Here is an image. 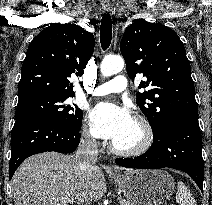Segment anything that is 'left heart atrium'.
<instances>
[{"label": "left heart atrium", "mask_w": 212, "mask_h": 205, "mask_svg": "<svg viewBox=\"0 0 212 205\" xmlns=\"http://www.w3.org/2000/svg\"><path fill=\"white\" fill-rule=\"evenodd\" d=\"M91 121L95 136L115 141L131 126L134 119L125 107L101 103L93 109Z\"/></svg>", "instance_id": "39dd6f15"}]
</instances>
